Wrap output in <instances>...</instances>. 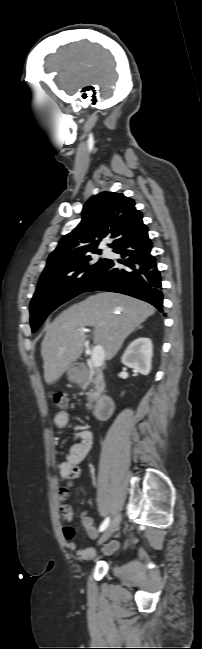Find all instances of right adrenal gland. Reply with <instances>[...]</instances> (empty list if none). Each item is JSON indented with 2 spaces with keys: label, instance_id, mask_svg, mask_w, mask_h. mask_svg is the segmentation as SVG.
Returning <instances> with one entry per match:
<instances>
[{
  "label": "right adrenal gland",
  "instance_id": "1",
  "mask_svg": "<svg viewBox=\"0 0 202 649\" xmlns=\"http://www.w3.org/2000/svg\"><path fill=\"white\" fill-rule=\"evenodd\" d=\"M140 328H141V326H138L135 330L140 329ZM135 330H134V331H135Z\"/></svg>",
  "mask_w": 202,
  "mask_h": 649
}]
</instances>
